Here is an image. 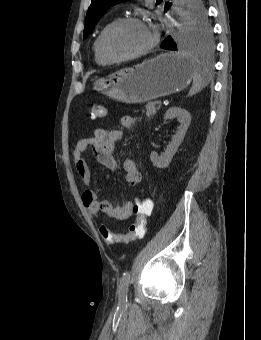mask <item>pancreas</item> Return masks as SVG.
<instances>
[{"mask_svg":"<svg viewBox=\"0 0 261 340\" xmlns=\"http://www.w3.org/2000/svg\"><path fill=\"white\" fill-rule=\"evenodd\" d=\"M156 102H149L147 105H146V116L147 117H153L157 111L159 110V107H156Z\"/></svg>","mask_w":261,"mask_h":340,"instance_id":"1","label":"pancreas"}]
</instances>
